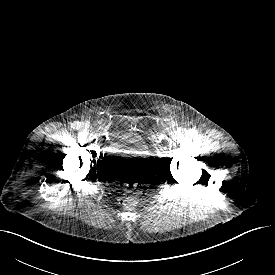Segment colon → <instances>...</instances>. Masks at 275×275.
<instances>
[{"label": "colon", "mask_w": 275, "mask_h": 275, "mask_svg": "<svg viewBox=\"0 0 275 275\" xmlns=\"http://www.w3.org/2000/svg\"><path fill=\"white\" fill-rule=\"evenodd\" d=\"M141 192L142 190L138 182L132 181L126 183L120 196L121 205L125 208H133Z\"/></svg>", "instance_id": "obj_1"}]
</instances>
